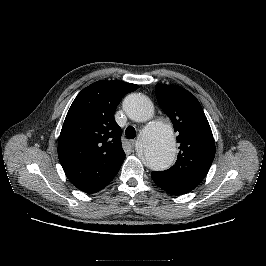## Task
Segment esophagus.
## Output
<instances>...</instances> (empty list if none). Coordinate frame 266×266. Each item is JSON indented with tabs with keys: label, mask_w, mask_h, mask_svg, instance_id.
<instances>
[{
	"label": "esophagus",
	"mask_w": 266,
	"mask_h": 266,
	"mask_svg": "<svg viewBox=\"0 0 266 266\" xmlns=\"http://www.w3.org/2000/svg\"><path fill=\"white\" fill-rule=\"evenodd\" d=\"M135 144H136V140H130V145L132 148H134Z\"/></svg>",
	"instance_id": "34e87169"
}]
</instances>
